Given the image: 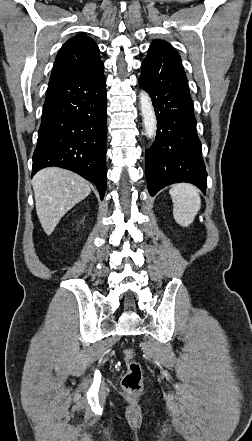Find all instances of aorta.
Returning <instances> with one entry per match:
<instances>
[{"label":"aorta","instance_id":"762f6f07","mask_svg":"<svg viewBox=\"0 0 252 441\" xmlns=\"http://www.w3.org/2000/svg\"><path fill=\"white\" fill-rule=\"evenodd\" d=\"M139 103L145 127V134L149 139L154 138L157 130L156 115L151 98L144 90L139 94Z\"/></svg>","mask_w":252,"mask_h":441}]
</instances>
